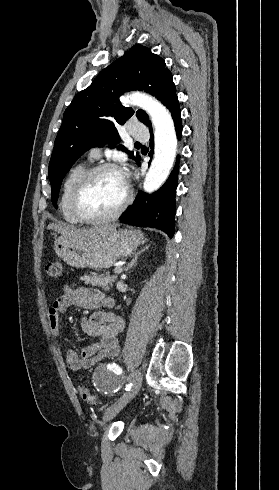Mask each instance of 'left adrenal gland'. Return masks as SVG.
Segmentation results:
<instances>
[{
    "label": "left adrenal gland",
    "instance_id": "a2214340",
    "mask_svg": "<svg viewBox=\"0 0 279 490\" xmlns=\"http://www.w3.org/2000/svg\"><path fill=\"white\" fill-rule=\"evenodd\" d=\"M149 248H150V244H148V246H145V248H143V250H140V252H136L132 262H130V264H128L127 270H130V268H133V266H135L139 256H141L142 252H146V250H149Z\"/></svg>",
    "mask_w": 279,
    "mask_h": 490
}]
</instances>
